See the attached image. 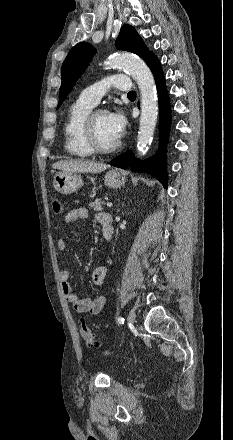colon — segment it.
Segmentation results:
<instances>
[{"label": "colon", "mask_w": 233, "mask_h": 440, "mask_svg": "<svg viewBox=\"0 0 233 440\" xmlns=\"http://www.w3.org/2000/svg\"><path fill=\"white\" fill-rule=\"evenodd\" d=\"M51 207H52V210L55 214H60L62 212L61 202L54 195H52ZM80 333H81V336L84 339V341L86 342V345L88 347H90V348L98 347L99 342L93 336V334L91 333V331H90L89 327L86 325V323L83 321L80 323Z\"/></svg>", "instance_id": "colon-1"}]
</instances>
